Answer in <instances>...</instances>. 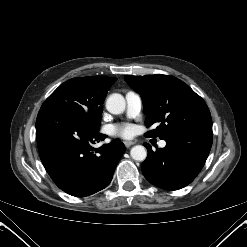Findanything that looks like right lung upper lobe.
Here are the masks:
<instances>
[{"label":"right lung upper lobe","mask_w":247,"mask_h":247,"mask_svg":"<svg viewBox=\"0 0 247 247\" xmlns=\"http://www.w3.org/2000/svg\"><path fill=\"white\" fill-rule=\"evenodd\" d=\"M89 81L93 82L106 96L109 88L113 85V83L117 80V78H109L105 76H89L85 77Z\"/></svg>","instance_id":"cb5924a9"}]
</instances>
